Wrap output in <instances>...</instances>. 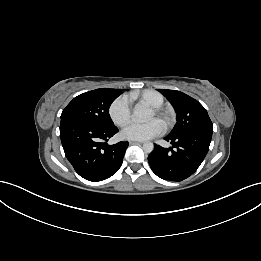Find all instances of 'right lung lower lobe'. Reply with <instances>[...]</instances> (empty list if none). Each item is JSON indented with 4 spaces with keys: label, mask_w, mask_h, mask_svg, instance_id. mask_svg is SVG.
<instances>
[{
    "label": "right lung lower lobe",
    "mask_w": 261,
    "mask_h": 261,
    "mask_svg": "<svg viewBox=\"0 0 261 261\" xmlns=\"http://www.w3.org/2000/svg\"><path fill=\"white\" fill-rule=\"evenodd\" d=\"M117 132L115 125L101 128L66 119L60 123V138L66 158L81 177L93 182L111 177L122 165L128 142L107 144Z\"/></svg>",
    "instance_id": "obj_1"
}]
</instances>
